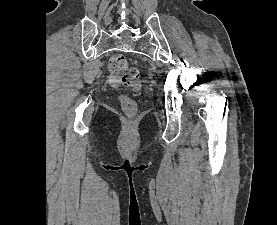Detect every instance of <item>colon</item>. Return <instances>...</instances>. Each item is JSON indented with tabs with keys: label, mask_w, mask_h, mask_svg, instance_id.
Listing matches in <instances>:
<instances>
[{
	"label": "colon",
	"mask_w": 277,
	"mask_h": 225,
	"mask_svg": "<svg viewBox=\"0 0 277 225\" xmlns=\"http://www.w3.org/2000/svg\"><path fill=\"white\" fill-rule=\"evenodd\" d=\"M109 68L124 87L133 89L139 88V72L136 68L129 65L124 55H113L109 61ZM120 104L122 111L126 115L134 116L136 114L137 104L133 99L127 96H121Z\"/></svg>",
	"instance_id": "colon-1"
}]
</instances>
